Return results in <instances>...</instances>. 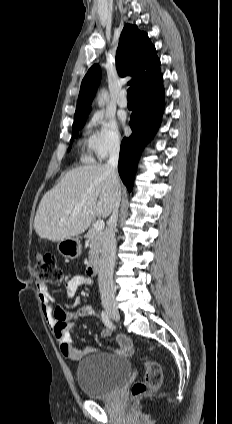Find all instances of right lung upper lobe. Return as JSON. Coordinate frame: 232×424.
<instances>
[{
  "label": "right lung upper lobe",
  "instance_id": "cb5924a9",
  "mask_svg": "<svg viewBox=\"0 0 232 424\" xmlns=\"http://www.w3.org/2000/svg\"><path fill=\"white\" fill-rule=\"evenodd\" d=\"M116 67L121 77H133L129 83L135 85L136 92L150 87L161 75L155 47L148 35L139 31L136 25L126 24L123 28L116 53ZM100 79L101 69L95 64L82 80L74 121L87 118Z\"/></svg>",
  "mask_w": 232,
  "mask_h": 424
}]
</instances>
